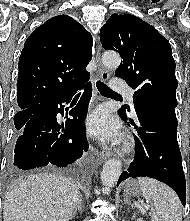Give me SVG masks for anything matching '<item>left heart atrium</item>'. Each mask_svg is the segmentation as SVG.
Segmentation results:
<instances>
[{
  "mask_svg": "<svg viewBox=\"0 0 190 221\" xmlns=\"http://www.w3.org/2000/svg\"><path fill=\"white\" fill-rule=\"evenodd\" d=\"M85 125L88 134L102 142L117 143L121 137L118 120L104 107L93 111L87 117Z\"/></svg>",
  "mask_w": 190,
  "mask_h": 221,
  "instance_id": "obj_1",
  "label": "left heart atrium"
}]
</instances>
